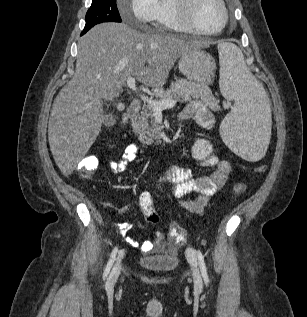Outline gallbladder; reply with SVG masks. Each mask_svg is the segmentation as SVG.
<instances>
[{
	"mask_svg": "<svg viewBox=\"0 0 307 317\" xmlns=\"http://www.w3.org/2000/svg\"><path fill=\"white\" fill-rule=\"evenodd\" d=\"M114 123V118L111 114H105L104 124L105 126H111Z\"/></svg>",
	"mask_w": 307,
	"mask_h": 317,
	"instance_id": "bac80fb5",
	"label": "gallbladder"
}]
</instances>
